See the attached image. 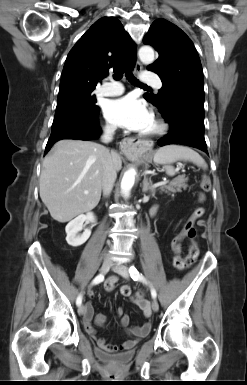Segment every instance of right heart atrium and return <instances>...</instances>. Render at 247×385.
Instances as JSON below:
<instances>
[{
	"label": "right heart atrium",
	"mask_w": 247,
	"mask_h": 385,
	"mask_svg": "<svg viewBox=\"0 0 247 385\" xmlns=\"http://www.w3.org/2000/svg\"><path fill=\"white\" fill-rule=\"evenodd\" d=\"M104 130L107 131V132H113L114 131V127L110 124H106L104 126Z\"/></svg>",
	"instance_id": "1"
}]
</instances>
